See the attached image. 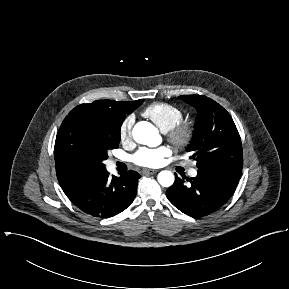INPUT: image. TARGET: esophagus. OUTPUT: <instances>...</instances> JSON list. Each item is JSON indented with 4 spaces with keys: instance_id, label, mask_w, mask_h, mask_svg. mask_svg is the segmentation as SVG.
Returning a JSON list of instances; mask_svg holds the SVG:
<instances>
[{
    "instance_id": "obj_1",
    "label": "esophagus",
    "mask_w": 289,
    "mask_h": 289,
    "mask_svg": "<svg viewBox=\"0 0 289 289\" xmlns=\"http://www.w3.org/2000/svg\"><path fill=\"white\" fill-rule=\"evenodd\" d=\"M158 172V170H153V169H144L142 171L143 175H154Z\"/></svg>"
}]
</instances>
